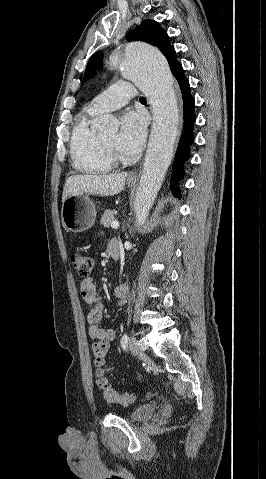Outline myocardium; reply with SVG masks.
<instances>
[{"mask_svg": "<svg viewBox=\"0 0 266 479\" xmlns=\"http://www.w3.org/2000/svg\"><path fill=\"white\" fill-rule=\"evenodd\" d=\"M101 143L103 145V148L105 150V153H106L108 159L111 162H113L114 164H117V163L123 161V159H122L120 153L118 152V150H116L112 145H110L102 137H101Z\"/></svg>", "mask_w": 266, "mask_h": 479, "instance_id": "1", "label": "myocardium"}]
</instances>
